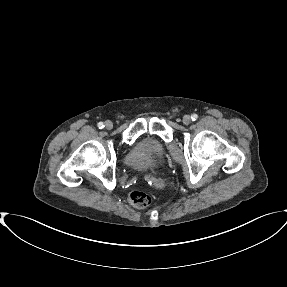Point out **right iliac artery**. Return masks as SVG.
Listing matches in <instances>:
<instances>
[{
	"label": "right iliac artery",
	"mask_w": 287,
	"mask_h": 287,
	"mask_svg": "<svg viewBox=\"0 0 287 287\" xmlns=\"http://www.w3.org/2000/svg\"><path fill=\"white\" fill-rule=\"evenodd\" d=\"M98 127H99V129H102V128L104 127L103 122H99V123H98Z\"/></svg>",
	"instance_id": "82829eb1"
}]
</instances>
